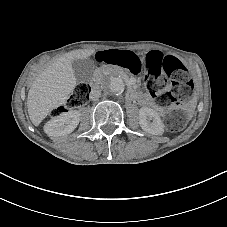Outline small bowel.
<instances>
[{
    "label": "small bowel",
    "instance_id": "1",
    "mask_svg": "<svg viewBox=\"0 0 227 227\" xmlns=\"http://www.w3.org/2000/svg\"><path fill=\"white\" fill-rule=\"evenodd\" d=\"M152 52H154L156 55L164 56L162 52H159V51H152ZM150 104L158 111H162V109L159 106H157L156 103H154L153 101H150Z\"/></svg>",
    "mask_w": 227,
    "mask_h": 227
}]
</instances>
